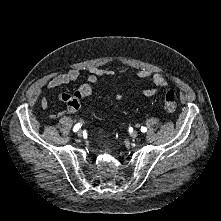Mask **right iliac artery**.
I'll return each instance as SVG.
<instances>
[{
	"mask_svg": "<svg viewBox=\"0 0 221 221\" xmlns=\"http://www.w3.org/2000/svg\"><path fill=\"white\" fill-rule=\"evenodd\" d=\"M80 127H81V125H80L79 123L76 124V125L74 126V128H73V131H74V132H75V131H78Z\"/></svg>",
	"mask_w": 221,
	"mask_h": 221,
	"instance_id": "1",
	"label": "right iliac artery"
}]
</instances>
